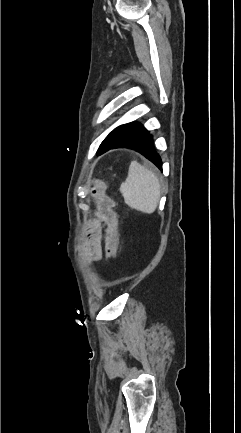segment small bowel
Masks as SVG:
<instances>
[{"label": "small bowel", "mask_w": 241, "mask_h": 433, "mask_svg": "<svg viewBox=\"0 0 241 433\" xmlns=\"http://www.w3.org/2000/svg\"><path fill=\"white\" fill-rule=\"evenodd\" d=\"M103 224L99 221L88 223V236L84 243V256L89 261H99L103 257Z\"/></svg>", "instance_id": "1"}]
</instances>
